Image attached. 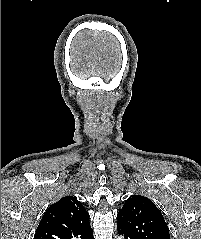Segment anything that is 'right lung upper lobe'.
Segmentation results:
<instances>
[{"label":"right lung upper lobe","instance_id":"right-lung-upper-lobe-1","mask_svg":"<svg viewBox=\"0 0 201 239\" xmlns=\"http://www.w3.org/2000/svg\"><path fill=\"white\" fill-rule=\"evenodd\" d=\"M89 214L76 196H66L50 206L34 239H93Z\"/></svg>","mask_w":201,"mask_h":239}]
</instances>
